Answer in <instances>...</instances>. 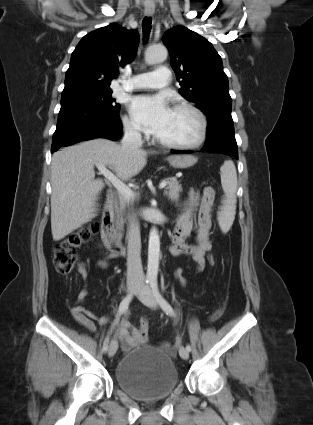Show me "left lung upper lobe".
<instances>
[{
    "instance_id": "left-lung-upper-lobe-1",
    "label": "left lung upper lobe",
    "mask_w": 313,
    "mask_h": 425,
    "mask_svg": "<svg viewBox=\"0 0 313 425\" xmlns=\"http://www.w3.org/2000/svg\"><path fill=\"white\" fill-rule=\"evenodd\" d=\"M181 88L179 93L206 114L208 121L232 120V99L222 59L213 45L184 26L163 35Z\"/></svg>"
}]
</instances>
